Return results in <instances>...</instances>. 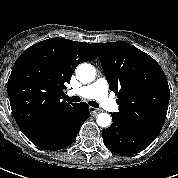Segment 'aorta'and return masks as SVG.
<instances>
[{
  "label": "aorta",
  "mask_w": 178,
  "mask_h": 178,
  "mask_svg": "<svg viewBox=\"0 0 178 178\" xmlns=\"http://www.w3.org/2000/svg\"><path fill=\"white\" fill-rule=\"evenodd\" d=\"M95 75V68L91 64L82 63L76 68V77L81 83L92 82L95 79ZM111 122L112 118L108 113H101L97 117V123L101 127H109Z\"/></svg>",
  "instance_id": "762f6f07"
}]
</instances>
